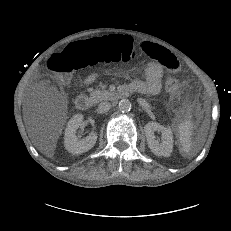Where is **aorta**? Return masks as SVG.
I'll list each match as a JSON object with an SVG mask.
<instances>
[{
    "instance_id": "1",
    "label": "aorta",
    "mask_w": 231,
    "mask_h": 231,
    "mask_svg": "<svg viewBox=\"0 0 231 231\" xmlns=\"http://www.w3.org/2000/svg\"><path fill=\"white\" fill-rule=\"evenodd\" d=\"M131 107V102L128 99H122L119 101L118 108L121 112H129Z\"/></svg>"
}]
</instances>
